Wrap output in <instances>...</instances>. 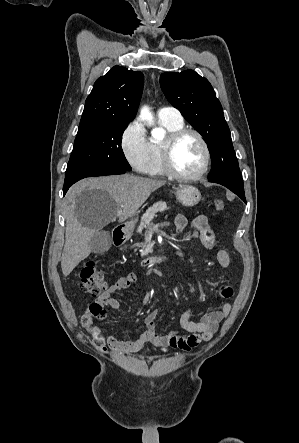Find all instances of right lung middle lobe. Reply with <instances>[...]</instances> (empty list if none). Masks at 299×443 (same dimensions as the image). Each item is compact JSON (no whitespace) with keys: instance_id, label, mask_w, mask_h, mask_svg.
Masks as SVG:
<instances>
[{"instance_id":"dd1d6c3e","label":"right lung middle lobe","mask_w":299,"mask_h":443,"mask_svg":"<svg viewBox=\"0 0 299 443\" xmlns=\"http://www.w3.org/2000/svg\"><path fill=\"white\" fill-rule=\"evenodd\" d=\"M129 122H114L78 131L64 185L110 170H131L121 148Z\"/></svg>"}]
</instances>
